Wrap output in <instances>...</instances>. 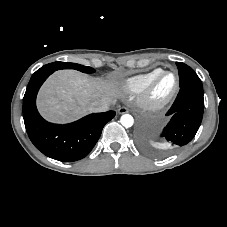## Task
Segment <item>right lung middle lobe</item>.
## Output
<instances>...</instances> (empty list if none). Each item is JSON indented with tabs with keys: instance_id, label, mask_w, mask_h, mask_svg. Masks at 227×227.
I'll return each mask as SVG.
<instances>
[{
	"instance_id": "right-lung-middle-lobe-1",
	"label": "right lung middle lobe",
	"mask_w": 227,
	"mask_h": 227,
	"mask_svg": "<svg viewBox=\"0 0 227 227\" xmlns=\"http://www.w3.org/2000/svg\"><path fill=\"white\" fill-rule=\"evenodd\" d=\"M59 69H76L84 73H93L95 70L91 67L83 66L76 63H68V62H53L47 65H44L40 69H38L36 72L41 71H55Z\"/></svg>"
}]
</instances>
